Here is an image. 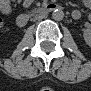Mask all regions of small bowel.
<instances>
[{"mask_svg": "<svg viewBox=\"0 0 91 91\" xmlns=\"http://www.w3.org/2000/svg\"><path fill=\"white\" fill-rule=\"evenodd\" d=\"M1 9L4 13H9V3L8 1L4 0L1 2Z\"/></svg>", "mask_w": 91, "mask_h": 91, "instance_id": "small-bowel-1", "label": "small bowel"}]
</instances>
